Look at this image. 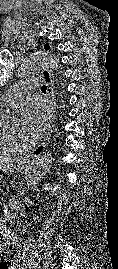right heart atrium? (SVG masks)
Masks as SVG:
<instances>
[{
    "label": "right heart atrium",
    "instance_id": "obj_1",
    "mask_svg": "<svg viewBox=\"0 0 118 269\" xmlns=\"http://www.w3.org/2000/svg\"><path fill=\"white\" fill-rule=\"evenodd\" d=\"M0 134L18 148L26 144V138L19 132H2Z\"/></svg>",
    "mask_w": 118,
    "mask_h": 269
}]
</instances>
